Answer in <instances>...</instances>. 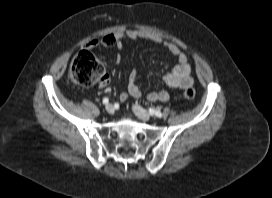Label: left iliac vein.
Here are the masks:
<instances>
[{"mask_svg": "<svg viewBox=\"0 0 272 198\" xmlns=\"http://www.w3.org/2000/svg\"><path fill=\"white\" fill-rule=\"evenodd\" d=\"M132 110L136 114V116L144 121H149L151 118L150 114L144 108L137 104L132 106Z\"/></svg>", "mask_w": 272, "mask_h": 198, "instance_id": "4c4485c4", "label": "left iliac vein"}]
</instances>
